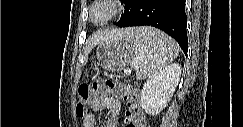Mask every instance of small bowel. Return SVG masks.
<instances>
[{
  "label": "small bowel",
  "instance_id": "small-bowel-1",
  "mask_svg": "<svg viewBox=\"0 0 243 127\" xmlns=\"http://www.w3.org/2000/svg\"><path fill=\"white\" fill-rule=\"evenodd\" d=\"M107 110L108 117L106 127H117L119 124V116L121 114V103L111 97L99 99L92 104V110L84 119V127H94L96 125V113Z\"/></svg>",
  "mask_w": 243,
  "mask_h": 127
}]
</instances>
